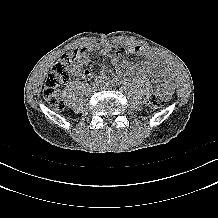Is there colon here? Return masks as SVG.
I'll return each instance as SVG.
<instances>
[{
  "instance_id": "obj_1",
  "label": "colon",
  "mask_w": 218,
  "mask_h": 218,
  "mask_svg": "<svg viewBox=\"0 0 218 218\" xmlns=\"http://www.w3.org/2000/svg\"><path fill=\"white\" fill-rule=\"evenodd\" d=\"M79 50L73 51L69 54L63 55L53 66L48 74L43 88V96L47 103L53 107L62 109L64 104L62 102L61 88L69 81L71 75V68ZM164 84V82H163ZM166 101V91L162 86L157 89L150 99L147 101L146 109L149 112H154L161 108Z\"/></svg>"
}]
</instances>
